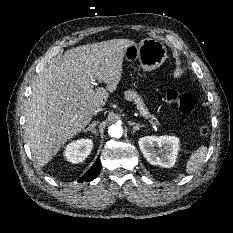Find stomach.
<instances>
[{"label": "stomach", "mask_w": 233, "mask_h": 233, "mask_svg": "<svg viewBox=\"0 0 233 233\" xmlns=\"http://www.w3.org/2000/svg\"><path fill=\"white\" fill-rule=\"evenodd\" d=\"M125 56L130 60L137 59L142 70L150 72L164 63L167 58V49L162 42L152 38H145L138 44L128 47Z\"/></svg>", "instance_id": "stomach-1"}]
</instances>
